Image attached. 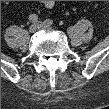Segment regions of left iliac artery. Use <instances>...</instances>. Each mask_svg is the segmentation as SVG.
Returning <instances> with one entry per match:
<instances>
[{"mask_svg":"<svg viewBox=\"0 0 109 109\" xmlns=\"http://www.w3.org/2000/svg\"><path fill=\"white\" fill-rule=\"evenodd\" d=\"M47 24H53V20H51V19H47L46 21H45Z\"/></svg>","mask_w":109,"mask_h":109,"instance_id":"obj_1","label":"left iliac artery"}]
</instances>
